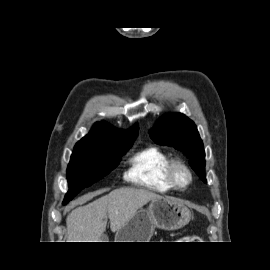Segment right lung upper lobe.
<instances>
[{
	"mask_svg": "<svg viewBox=\"0 0 270 270\" xmlns=\"http://www.w3.org/2000/svg\"><path fill=\"white\" fill-rule=\"evenodd\" d=\"M138 135V125L129 130H118L106 122L97 123L92 131L83 137L75 147H99L132 142Z\"/></svg>",
	"mask_w": 270,
	"mask_h": 270,
	"instance_id": "cb5924a9",
	"label": "right lung upper lobe"
}]
</instances>
